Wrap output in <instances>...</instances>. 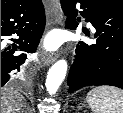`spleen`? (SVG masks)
<instances>
[{
	"label": "spleen",
	"instance_id": "3e777b00",
	"mask_svg": "<svg viewBox=\"0 0 123 113\" xmlns=\"http://www.w3.org/2000/svg\"><path fill=\"white\" fill-rule=\"evenodd\" d=\"M86 101L93 113H123V90L112 86L92 89Z\"/></svg>",
	"mask_w": 123,
	"mask_h": 113
}]
</instances>
